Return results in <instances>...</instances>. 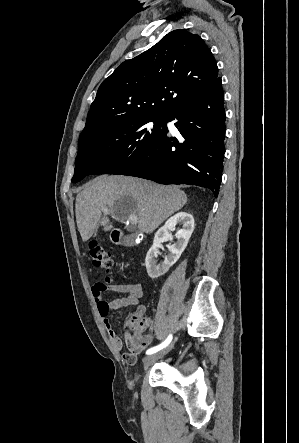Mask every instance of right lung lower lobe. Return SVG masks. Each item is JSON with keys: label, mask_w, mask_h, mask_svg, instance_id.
<instances>
[{"label": "right lung lower lobe", "mask_w": 299, "mask_h": 443, "mask_svg": "<svg viewBox=\"0 0 299 443\" xmlns=\"http://www.w3.org/2000/svg\"><path fill=\"white\" fill-rule=\"evenodd\" d=\"M224 93L218 77L206 90L168 113L182 137L167 135L137 161L115 175H128L161 184H189L218 196L225 137Z\"/></svg>", "instance_id": "right-lung-lower-lobe-1"}]
</instances>
